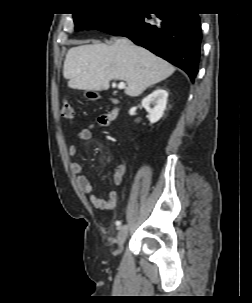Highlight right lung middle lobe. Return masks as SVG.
<instances>
[{
  "label": "right lung middle lobe",
  "instance_id": "dd1d6c3e",
  "mask_svg": "<svg viewBox=\"0 0 252 303\" xmlns=\"http://www.w3.org/2000/svg\"><path fill=\"white\" fill-rule=\"evenodd\" d=\"M125 13H91L74 14V23L77 31L97 29L120 20Z\"/></svg>",
  "mask_w": 252,
  "mask_h": 303
}]
</instances>
